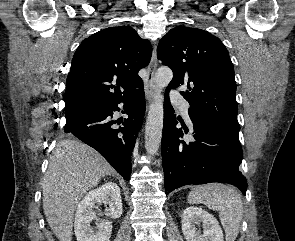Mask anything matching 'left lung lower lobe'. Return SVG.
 <instances>
[{"label": "left lung lower lobe", "mask_w": 295, "mask_h": 241, "mask_svg": "<svg viewBox=\"0 0 295 241\" xmlns=\"http://www.w3.org/2000/svg\"><path fill=\"white\" fill-rule=\"evenodd\" d=\"M166 91L162 134L165 193L189 184L223 182L237 186L246 195L247 182L239 170L242 148L238 133L207 121L192 120L194 139L184 141L177 129L174 109ZM185 133L188 132L184 128Z\"/></svg>", "instance_id": "obj_1"}]
</instances>
